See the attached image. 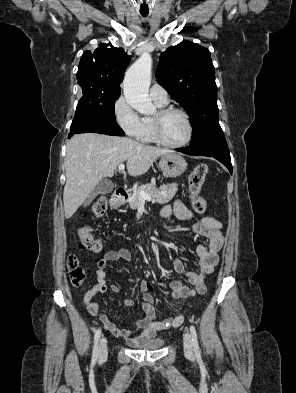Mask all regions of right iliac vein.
I'll use <instances>...</instances> for the list:
<instances>
[{"label": "right iliac vein", "instance_id": "1", "mask_svg": "<svg viewBox=\"0 0 296 393\" xmlns=\"http://www.w3.org/2000/svg\"><path fill=\"white\" fill-rule=\"evenodd\" d=\"M108 350H107V340L105 337L100 339V347H99V360L103 361L107 358Z\"/></svg>", "mask_w": 296, "mask_h": 393}]
</instances>
